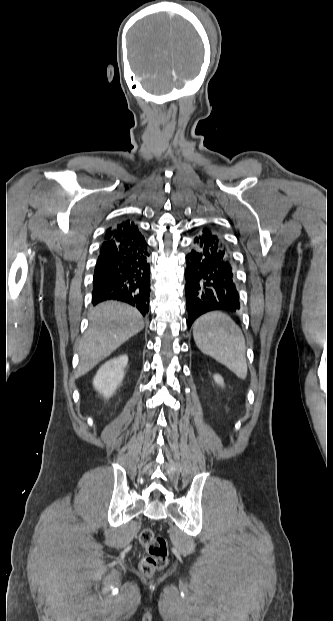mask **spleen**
Returning a JSON list of instances; mask_svg holds the SVG:
<instances>
[{
  "label": "spleen",
  "instance_id": "obj_1",
  "mask_svg": "<svg viewBox=\"0 0 333 621\" xmlns=\"http://www.w3.org/2000/svg\"><path fill=\"white\" fill-rule=\"evenodd\" d=\"M193 337L199 350L236 374L247 376L245 338L239 326L221 312H209L193 325Z\"/></svg>",
  "mask_w": 333,
  "mask_h": 621
}]
</instances>
